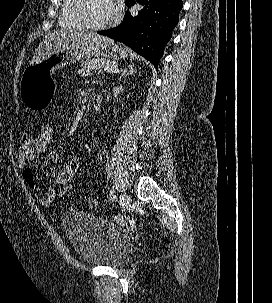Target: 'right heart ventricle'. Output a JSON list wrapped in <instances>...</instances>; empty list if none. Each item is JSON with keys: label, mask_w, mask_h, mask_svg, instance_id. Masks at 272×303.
I'll list each match as a JSON object with an SVG mask.
<instances>
[{"label": "right heart ventricle", "mask_w": 272, "mask_h": 303, "mask_svg": "<svg viewBox=\"0 0 272 303\" xmlns=\"http://www.w3.org/2000/svg\"><path fill=\"white\" fill-rule=\"evenodd\" d=\"M73 0H62L60 14H59V26L64 29H80L82 26L73 19L71 15V6Z\"/></svg>", "instance_id": "right-heart-ventricle-1"}]
</instances>
